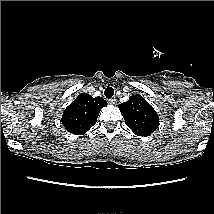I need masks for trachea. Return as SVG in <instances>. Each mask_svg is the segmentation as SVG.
Masks as SVG:
<instances>
[{
  "label": "trachea",
  "mask_w": 214,
  "mask_h": 214,
  "mask_svg": "<svg viewBox=\"0 0 214 214\" xmlns=\"http://www.w3.org/2000/svg\"><path fill=\"white\" fill-rule=\"evenodd\" d=\"M106 98L110 99L114 95V89L112 87H107L104 91Z\"/></svg>",
  "instance_id": "trachea-1"
}]
</instances>
